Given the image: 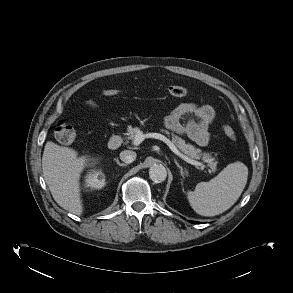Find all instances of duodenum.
Segmentation results:
<instances>
[{
    "label": "duodenum",
    "instance_id": "410a0bca",
    "mask_svg": "<svg viewBox=\"0 0 293 293\" xmlns=\"http://www.w3.org/2000/svg\"><path fill=\"white\" fill-rule=\"evenodd\" d=\"M122 144V138L119 135H113L109 138L107 146L111 150L118 149Z\"/></svg>",
    "mask_w": 293,
    "mask_h": 293
}]
</instances>
